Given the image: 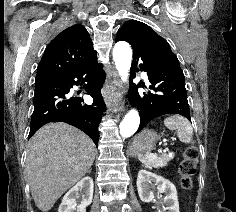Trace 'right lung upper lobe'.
I'll list each match as a JSON object with an SVG mask.
<instances>
[{
	"label": "right lung upper lobe",
	"instance_id": "1",
	"mask_svg": "<svg viewBox=\"0 0 236 212\" xmlns=\"http://www.w3.org/2000/svg\"><path fill=\"white\" fill-rule=\"evenodd\" d=\"M96 58L89 33L75 24L59 33L47 46L38 64L36 78L68 75Z\"/></svg>",
	"mask_w": 236,
	"mask_h": 212
}]
</instances>
